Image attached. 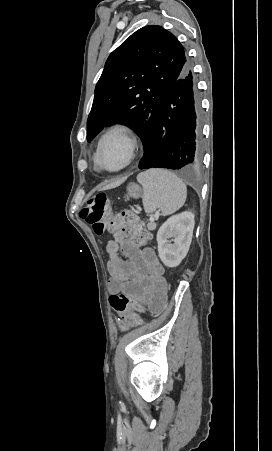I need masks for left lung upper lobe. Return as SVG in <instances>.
Masks as SVG:
<instances>
[{
  "mask_svg": "<svg viewBox=\"0 0 272 451\" xmlns=\"http://www.w3.org/2000/svg\"><path fill=\"white\" fill-rule=\"evenodd\" d=\"M186 62L182 45L164 28L151 25L133 33L106 61L87 120V140L104 126L124 123L135 127L146 151L166 95Z\"/></svg>",
  "mask_w": 272,
  "mask_h": 451,
  "instance_id": "5c2ea615",
  "label": "left lung upper lobe"
}]
</instances>
